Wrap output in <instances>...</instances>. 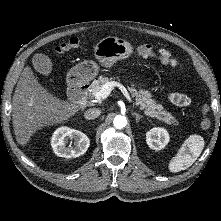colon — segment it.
I'll list each match as a JSON object with an SVG mask.
<instances>
[{"label": "colon", "mask_w": 221, "mask_h": 221, "mask_svg": "<svg viewBox=\"0 0 221 221\" xmlns=\"http://www.w3.org/2000/svg\"><path fill=\"white\" fill-rule=\"evenodd\" d=\"M85 46V43L77 38H72L68 42L62 43L56 48L57 55H63L72 50L79 49ZM136 52L141 57L157 56L163 63L173 65L174 60L170 53L165 50H156L152 45L144 44L136 48ZM202 119L200 126L202 129L207 130L211 127V119L208 116L209 108L207 105H203L201 108Z\"/></svg>", "instance_id": "colon-1"}]
</instances>
